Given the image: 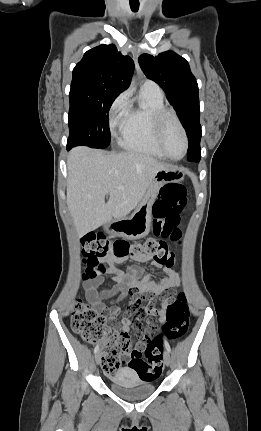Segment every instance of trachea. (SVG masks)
I'll list each match as a JSON object with an SVG mask.
<instances>
[{
    "instance_id": "1",
    "label": "trachea",
    "mask_w": 261,
    "mask_h": 431,
    "mask_svg": "<svg viewBox=\"0 0 261 431\" xmlns=\"http://www.w3.org/2000/svg\"><path fill=\"white\" fill-rule=\"evenodd\" d=\"M130 8L133 12H137L139 9V3H136V4L130 3Z\"/></svg>"
}]
</instances>
